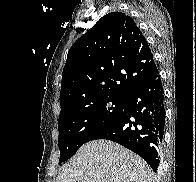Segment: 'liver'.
Listing matches in <instances>:
<instances>
[{"instance_id": "obj_1", "label": "liver", "mask_w": 196, "mask_h": 182, "mask_svg": "<svg viewBox=\"0 0 196 182\" xmlns=\"http://www.w3.org/2000/svg\"><path fill=\"white\" fill-rule=\"evenodd\" d=\"M56 182H155L138 155L107 140L84 144L62 168Z\"/></svg>"}]
</instances>
